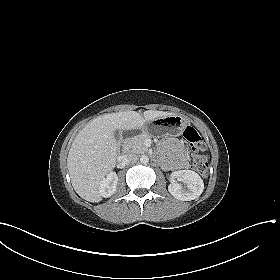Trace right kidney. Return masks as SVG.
Listing matches in <instances>:
<instances>
[{"label": "right kidney", "mask_w": 280, "mask_h": 280, "mask_svg": "<svg viewBox=\"0 0 280 280\" xmlns=\"http://www.w3.org/2000/svg\"><path fill=\"white\" fill-rule=\"evenodd\" d=\"M118 176L115 172L107 174L106 178H103L99 183V191L102 197L108 198L112 196L117 188Z\"/></svg>", "instance_id": "1"}]
</instances>
